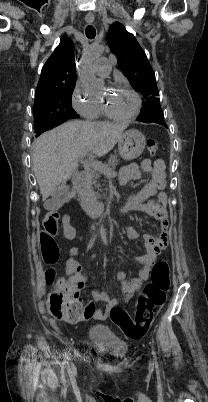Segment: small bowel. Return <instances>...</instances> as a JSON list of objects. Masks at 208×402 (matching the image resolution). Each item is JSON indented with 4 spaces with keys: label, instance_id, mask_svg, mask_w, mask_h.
<instances>
[{
    "label": "small bowel",
    "instance_id": "small-bowel-1",
    "mask_svg": "<svg viewBox=\"0 0 208 402\" xmlns=\"http://www.w3.org/2000/svg\"><path fill=\"white\" fill-rule=\"evenodd\" d=\"M146 178L150 179L140 190L127 196L128 203L123 209V212L142 211L148 213L161 222V229L155 237L149 235L145 236L146 252L138 259L139 263L142 265L138 276L130 280L126 279L123 274L118 276L121 283L123 299L129 298L132 293L138 289L141 282L148 278L151 265L156 255L168 244V197L167 194L163 192L166 186V166L164 161L162 159H156L154 161L144 159L139 164L133 163L121 168L119 172V184L122 187L126 186L131 181H142ZM158 192L157 199L152 200V197ZM65 230H71L68 236L71 243L89 241L88 237L82 238L81 236H76L75 230L69 223H65ZM126 232L131 239L139 237V233L131 227H127ZM66 270L67 276L61 278V280L72 281V294L68 296L69 298L77 299L84 288L86 279L83 267L77 261L72 263L69 259L66 262ZM47 273H54V271L50 269ZM93 299L97 302L105 303L108 307L114 306L117 303V300L109 298L105 293L96 292L93 294ZM93 317L98 324H103L107 317V311L97 309ZM80 321L81 318L78 315H65L61 327L63 330H80L82 327Z\"/></svg>",
    "mask_w": 208,
    "mask_h": 402
}]
</instances>
